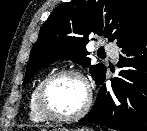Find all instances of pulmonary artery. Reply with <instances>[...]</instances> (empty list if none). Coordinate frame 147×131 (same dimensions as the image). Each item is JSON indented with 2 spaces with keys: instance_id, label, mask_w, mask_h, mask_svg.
I'll return each instance as SVG.
<instances>
[{
  "instance_id": "obj_1",
  "label": "pulmonary artery",
  "mask_w": 147,
  "mask_h": 131,
  "mask_svg": "<svg viewBox=\"0 0 147 131\" xmlns=\"http://www.w3.org/2000/svg\"><path fill=\"white\" fill-rule=\"evenodd\" d=\"M105 51L111 56L113 59L117 58L118 48L113 44H107L105 46Z\"/></svg>"
}]
</instances>
